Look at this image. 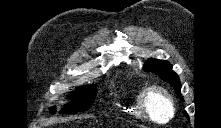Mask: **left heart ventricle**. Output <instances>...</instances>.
Masks as SVG:
<instances>
[{"label": "left heart ventricle", "mask_w": 221, "mask_h": 128, "mask_svg": "<svg viewBox=\"0 0 221 128\" xmlns=\"http://www.w3.org/2000/svg\"><path fill=\"white\" fill-rule=\"evenodd\" d=\"M152 110H153L155 118L159 121H163L168 117V113H169L168 107L161 100H156L153 102Z\"/></svg>", "instance_id": "left-heart-ventricle-1"}]
</instances>
